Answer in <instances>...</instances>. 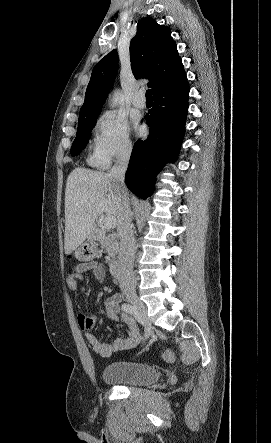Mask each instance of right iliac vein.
Returning a JSON list of instances; mask_svg holds the SVG:
<instances>
[{
	"label": "right iliac vein",
	"instance_id": "63e3f726",
	"mask_svg": "<svg viewBox=\"0 0 271 443\" xmlns=\"http://www.w3.org/2000/svg\"><path fill=\"white\" fill-rule=\"evenodd\" d=\"M127 300L137 308L139 314L145 320L146 322L145 339H148L153 333V327L149 322V320L147 319V309L144 303L135 294L127 295Z\"/></svg>",
	"mask_w": 271,
	"mask_h": 443
}]
</instances>
